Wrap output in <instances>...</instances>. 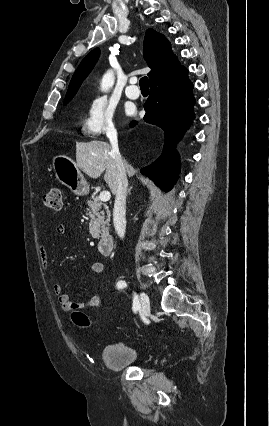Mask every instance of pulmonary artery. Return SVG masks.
<instances>
[{"label": "pulmonary artery", "instance_id": "obj_1", "mask_svg": "<svg viewBox=\"0 0 269 426\" xmlns=\"http://www.w3.org/2000/svg\"><path fill=\"white\" fill-rule=\"evenodd\" d=\"M136 78H131L129 80V85L126 87L125 93L130 99H137L140 96V90L136 86Z\"/></svg>", "mask_w": 269, "mask_h": 426}]
</instances>
